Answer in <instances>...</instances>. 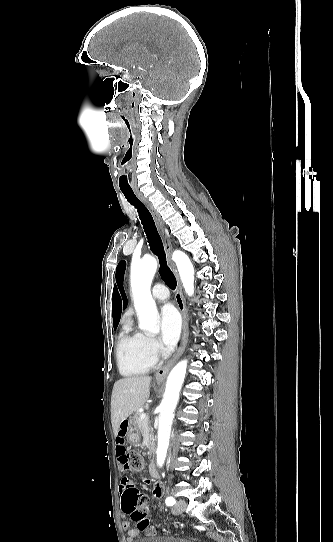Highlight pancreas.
Segmentation results:
<instances>
[{"instance_id":"pancreas-1","label":"pancreas","mask_w":333,"mask_h":542,"mask_svg":"<svg viewBox=\"0 0 333 542\" xmlns=\"http://www.w3.org/2000/svg\"><path fill=\"white\" fill-rule=\"evenodd\" d=\"M142 414H144V412H138V410H135L133 420H134L138 430H140L141 434H148V436H149L150 450L148 452V456H149V458H151L152 450H153V448H155L154 432H153V428H151V426H150L149 418H144V420H141Z\"/></svg>"}]
</instances>
